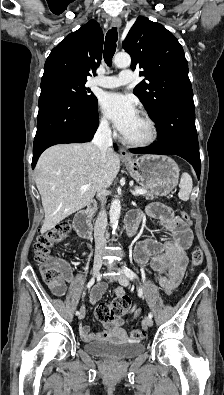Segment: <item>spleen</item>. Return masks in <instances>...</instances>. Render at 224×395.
Listing matches in <instances>:
<instances>
[{
  "instance_id": "obj_1",
  "label": "spleen",
  "mask_w": 224,
  "mask_h": 395,
  "mask_svg": "<svg viewBox=\"0 0 224 395\" xmlns=\"http://www.w3.org/2000/svg\"><path fill=\"white\" fill-rule=\"evenodd\" d=\"M192 178L188 173H183L180 180V191L178 196L181 200L187 201L190 197V193L192 191Z\"/></svg>"
}]
</instances>
